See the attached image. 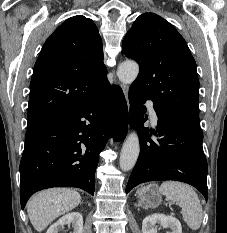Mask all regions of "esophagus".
Instances as JSON below:
<instances>
[{
	"label": "esophagus",
	"instance_id": "34e87169",
	"mask_svg": "<svg viewBox=\"0 0 227 233\" xmlns=\"http://www.w3.org/2000/svg\"><path fill=\"white\" fill-rule=\"evenodd\" d=\"M121 88H122V91L125 95V98H126V101H127V104L129 106V100H128V87L124 84H121Z\"/></svg>",
	"mask_w": 227,
	"mask_h": 233
}]
</instances>
